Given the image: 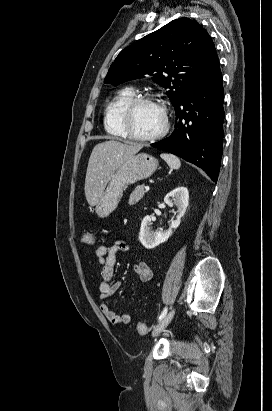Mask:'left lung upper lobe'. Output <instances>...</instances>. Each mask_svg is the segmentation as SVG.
<instances>
[{
	"mask_svg": "<svg viewBox=\"0 0 272 411\" xmlns=\"http://www.w3.org/2000/svg\"><path fill=\"white\" fill-rule=\"evenodd\" d=\"M218 58L209 34L196 21L179 18L123 49L104 83L152 77L175 107Z\"/></svg>",
	"mask_w": 272,
	"mask_h": 411,
	"instance_id": "left-lung-upper-lobe-1",
	"label": "left lung upper lobe"
}]
</instances>
